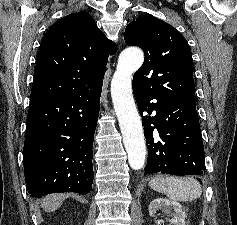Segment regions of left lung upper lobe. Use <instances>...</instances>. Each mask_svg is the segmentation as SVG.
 <instances>
[{
    "label": "left lung upper lobe",
    "mask_w": 237,
    "mask_h": 225,
    "mask_svg": "<svg viewBox=\"0 0 237 225\" xmlns=\"http://www.w3.org/2000/svg\"><path fill=\"white\" fill-rule=\"evenodd\" d=\"M124 39L145 52L133 86L167 100H196L191 49L174 27L152 15L143 16L127 25Z\"/></svg>",
    "instance_id": "1"
}]
</instances>
